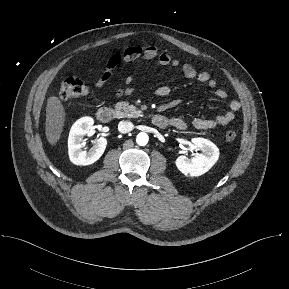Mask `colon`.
Segmentation results:
<instances>
[{
    "mask_svg": "<svg viewBox=\"0 0 289 289\" xmlns=\"http://www.w3.org/2000/svg\"><path fill=\"white\" fill-rule=\"evenodd\" d=\"M59 95L62 99H83L88 97L87 86L78 76L67 77L60 86ZM236 132L228 130L225 134L226 140L232 142L236 139Z\"/></svg>",
    "mask_w": 289,
    "mask_h": 289,
    "instance_id": "obj_1",
    "label": "colon"
}]
</instances>
